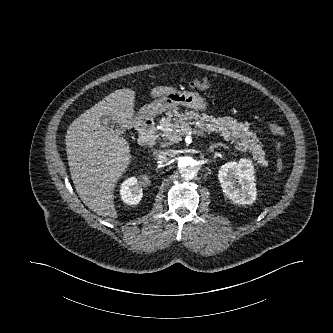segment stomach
<instances>
[{"label": "stomach", "mask_w": 333, "mask_h": 333, "mask_svg": "<svg viewBox=\"0 0 333 333\" xmlns=\"http://www.w3.org/2000/svg\"><path fill=\"white\" fill-rule=\"evenodd\" d=\"M206 105L205 99L196 92L173 90L143 107L137 116L142 120L153 118L162 112L177 108L178 106H185L193 110H204Z\"/></svg>", "instance_id": "stomach-1"}]
</instances>
